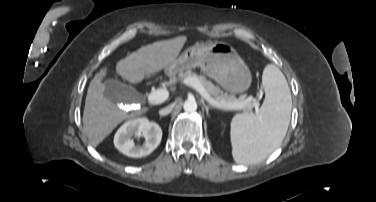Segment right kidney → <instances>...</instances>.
<instances>
[{"instance_id": "ca27d5eb", "label": "right kidney", "mask_w": 376, "mask_h": 202, "mask_svg": "<svg viewBox=\"0 0 376 202\" xmlns=\"http://www.w3.org/2000/svg\"><path fill=\"white\" fill-rule=\"evenodd\" d=\"M142 134L146 141L143 146L135 145L131 136ZM162 139L161 127L155 123L150 122L147 118H136L124 123L116 132L114 137L115 147L123 154L140 158L149 155L160 144Z\"/></svg>"}]
</instances>
